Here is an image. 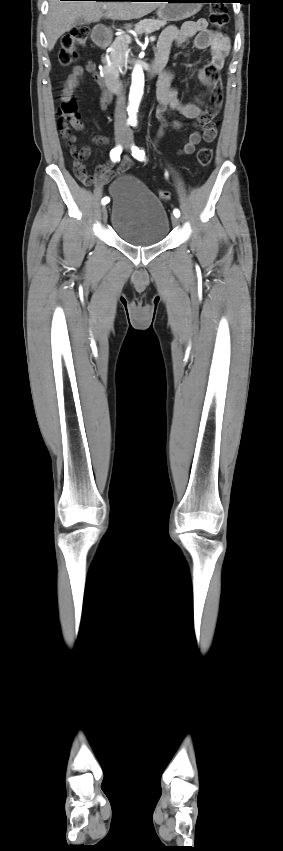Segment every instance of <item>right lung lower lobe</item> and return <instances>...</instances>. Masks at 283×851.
Returning <instances> with one entry per match:
<instances>
[{
    "mask_svg": "<svg viewBox=\"0 0 283 851\" xmlns=\"http://www.w3.org/2000/svg\"><path fill=\"white\" fill-rule=\"evenodd\" d=\"M107 1V0H104ZM108 1H139V0H108Z\"/></svg>",
    "mask_w": 283,
    "mask_h": 851,
    "instance_id": "98d812e1",
    "label": "right lung lower lobe"
}]
</instances>
